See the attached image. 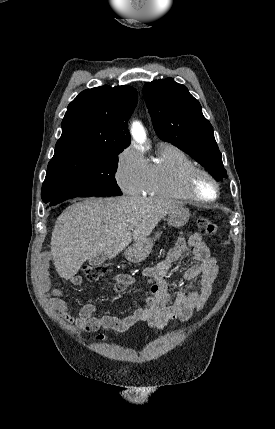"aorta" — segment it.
Returning <instances> with one entry per match:
<instances>
[{"instance_id": "762f6f07", "label": "aorta", "mask_w": 275, "mask_h": 429, "mask_svg": "<svg viewBox=\"0 0 275 429\" xmlns=\"http://www.w3.org/2000/svg\"><path fill=\"white\" fill-rule=\"evenodd\" d=\"M145 138L144 131L139 124H136V140L138 142H143Z\"/></svg>"}]
</instances>
